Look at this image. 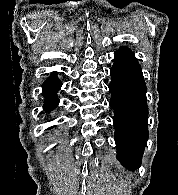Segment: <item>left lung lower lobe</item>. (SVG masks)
<instances>
[{"mask_svg": "<svg viewBox=\"0 0 178 195\" xmlns=\"http://www.w3.org/2000/svg\"><path fill=\"white\" fill-rule=\"evenodd\" d=\"M110 75L117 159L133 171L141 164L148 138L146 85L141 66L130 52H115Z\"/></svg>", "mask_w": 178, "mask_h": 195, "instance_id": "0a47b994", "label": "left lung lower lobe"}]
</instances>
